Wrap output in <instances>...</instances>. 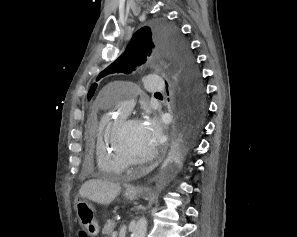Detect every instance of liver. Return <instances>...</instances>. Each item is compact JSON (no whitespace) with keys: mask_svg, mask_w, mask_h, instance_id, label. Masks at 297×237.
Wrapping results in <instances>:
<instances>
[{"mask_svg":"<svg viewBox=\"0 0 297 237\" xmlns=\"http://www.w3.org/2000/svg\"><path fill=\"white\" fill-rule=\"evenodd\" d=\"M121 192L119 184H114L101 179H91L86 181L79 190L82 198H88L98 204L108 205Z\"/></svg>","mask_w":297,"mask_h":237,"instance_id":"1","label":"liver"}]
</instances>
